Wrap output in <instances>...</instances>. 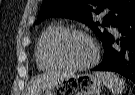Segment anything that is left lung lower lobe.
Instances as JSON below:
<instances>
[{"mask_svg":"<svg viewBox=\"0 0 135 95\" xmlns=\"http://www.w3.org/2000/svg\"><path fill=\"white\" fill-rule=\"evenodd\" d=\"M120 38L108 36L102 44L104 58L94 71H112L135 83V13L117 26Z\"/></svg>","mask_w":135,"mask_h":95,"instance_id":"0a47b994","label":"left lung lower lobe"}]
</instances>
